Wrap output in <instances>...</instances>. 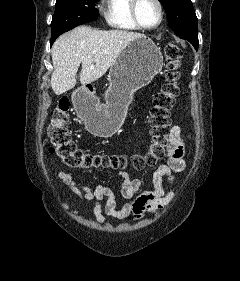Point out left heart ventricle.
Masks as SVG:
<instances>
[{
  "label": "left heart ventricle",
  "mask_w": 240,
  "mask_h": 281,
  "mask_svg": "<svg viewBox=\"0 0 240 281\" xmlns=\"http://www.w3.org/2000/svg\"><path fill=\"white\" fill-rule=\"evenodd\" d=\"M138 15L144 25H155L159 20V10L154 0H140Z\"/></svg>",
  "instance_id": "left-heart-ventricle-1"
}]
</instances>
